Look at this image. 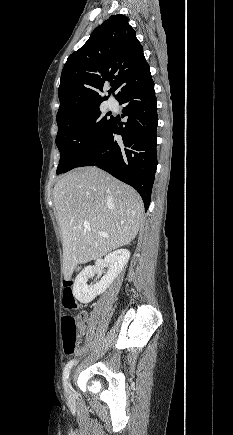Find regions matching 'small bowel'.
<instances>
[{
    "label": "small bowel",
    "mask_w": 233,
    "mask_h": 435,
    "mask_svg": "<svg viewBox=\"0 0 233 435\" xmlns=\"http://www.w3.org/2000/svg\"><path fill=\"white\" fill-rule=\"evenodd\" d=\"M74 290V289H73ZM83 334H84V327L83 326H81V328H80V337H82L83 336Z\"/></svg>",
    "instance_id": "c3829d8e"
}]
</instances>
